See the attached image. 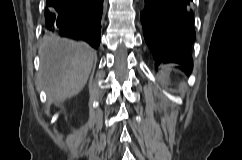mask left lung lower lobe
I'll return each instance as SVG.
<instances>
[{"label":"left lung lower lobe","instance_id":"1","mask_svg":"<svg viewBox=\"0 0 242 160\" xmlns=\"http://www.w3.org/2000/svg\"><path fill=\"white\" fill-rule=\"evenodd\" d=\"M193 21V0H145L141 22L156 66L178 63L187 73L191 72V45L195 40Z\"/></svg>","mask_w":242,"mask_h":160}]
</instances>
